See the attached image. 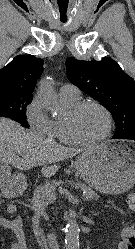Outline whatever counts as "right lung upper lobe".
Masks as SVG:
<instances>
[{
  "label": "right lung upper lobe",
  "instance_id": "1",
  "mask_svg": "<svg viewBox=\"0 0 135 249\" xmlns=\"http://www.w3.org/2000/svg\"><path fill=\"white\" fill-rule=\"evenodd\" d=\"M43 70V60L33 55H18L0 70V93L32 96Z\"/></svg>",
  "mask_w": 135,
  "mask_h": 249
}]
</instances>
